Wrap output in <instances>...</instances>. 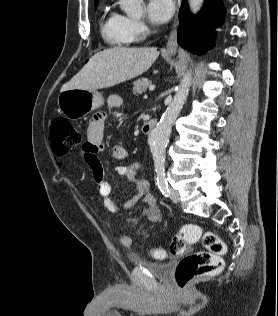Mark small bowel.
I'll return each mask as SVG.
<instances>
[{
	"label": "small bowel",
	"mask_w": 278,
	"mask_h": 316,
	"mask_svg": "<svg viewBox=\"0 0 278 316\" xmlns=\"http://www.w3.org/2000/svg\"><path fill=\"white\" fill-rule=\"evenodd\" d=\"M123 100L118 95H110L108 97V106L119 109ZM106 116L104 114L95 115L87 125V140L83 144L80 155L91 170L93 180L96 184L100 196L103 198L104 206L112 213L118 210H127L133 207L140 199L146 204V212L148 218L146 223H157L162 219V211L157 204L155 196L150 191V183L145 179L137 178V170L141 166V162L137 161L130 165H120L115 167L118 175L124 177L131 182L136 188V194L122 204H118L111 198V184L106 179L105 172L99 158L100 153L107 152V156L114 160H124L128 156V151L124 146L117 145L107 150L104 143V128ZM132 225L140 226L137 220H132ZM144 225V224H143ZM108 226L113 228V223L108 222ZM120 243L125 247L133 245V239L122 233H117Z\"/></svg>",
	"instance_id": "c3829d8e"
}]
</instances>
